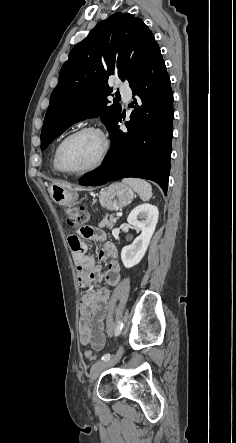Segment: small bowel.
I'll return each instance as SVG.
<instances>
[{"label":"small bowel","mask_w":236,"mask_h":443,"mask_svg":"<svg viewBox=\"0 0 236 443\" xmlns=\"http://www.w3.org/2000/svg\"><path fill=\"white\" fill-rule=\"evenodd\" d=\"M92 236L85 238L82 234H71L68 238L69 246L74 254L77 279L80 287H87L92 281L101 278V270L95 263L93 255L86 254L83 246L84 239H92L101 246L98 257L106 260L107 270L104 281L114 287L120 282L121 267L117 261L118 251L114 244L106 240V235L99 228H91ZM110 291L106 288L84 293L80 303L79 336L83 345H92L100 349L104 343V320L107 315Z\"/></svg>","instance_id":"1"}]
</instances>
